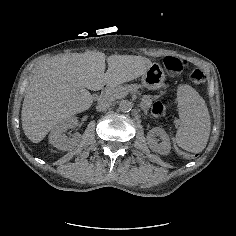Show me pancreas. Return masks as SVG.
I'll return each instance as SVG.
<instances>
[{
  "mask_svg": "<svg viewBox=\"0 0 236 236\" xmlns=\"http://www.w3.org/2000/svg\"><path fill=\"white\" fill-rule=\"evenodd\" d=\"M136 90V86L133 83L127 84L124 88L120 87L118 90L115 89L113 92H108L103 94V99L113 101L116 99V92L123 96L126 92L133 93Z\"/></svg>",
  "mask_w": 236,
  "mask_h": 236,
  "instance_id": "pancreas-1",
  "label": "pancreas"
}]
</instances>
